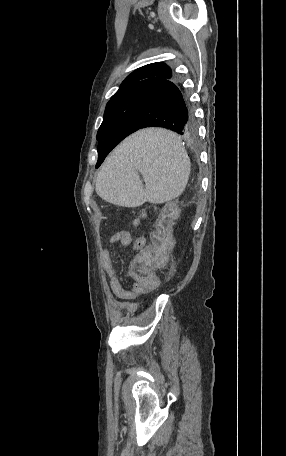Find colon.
<instances>
[{"label":"colon","instance_id":"obj_1","mask_svg":"<svg viewBox=\"0 0 286 456\" xmlns=\"http://www.w3.org/2000/svg\"><path fill=\"white\" fill-rule=\"evenodd\" d=\"M116 236H114L115 238ZM170 249L169 234L163 220L156 223L151 236V244L141 247L140 253L132 262L130 275L138 291H148L158 287L160 280L155 270L165 267Z\"/></svg>","mask_w":286,"mask_h":456}]
</instances>
